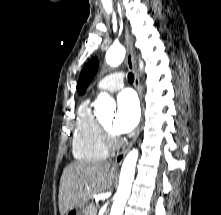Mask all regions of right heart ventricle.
Masks as SVG:
<instances>
[{"label": "right heart ventricle", "instance_id": "1", "mask_svg": "<svg viewBox=\"0 0 221 215\" xmlns=\"http://www.w3.org/2000/svg\"><path fill=\"white\" fill-rule=\"evenodd\" d=\"M72 153L78 161L83 162L102 160L108 153L101 123L93 114L89 99L84 100L77 111Z\"/></svg>", "mask_w": 221, "mask_h": 215}]
</instances>
